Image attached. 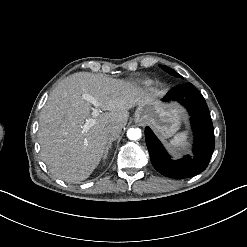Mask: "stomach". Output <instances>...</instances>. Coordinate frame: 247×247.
I'll use <instances>...</instances> for the list:
<instances>
[{
  "label": "stomach",
  "mask_w": 247,
  "mask_h": 247,
  "mask_svg": "<svg viewBox=\"0 0 247 247\" xmlns=\"http://www.w3.org/2000/svg\"><path fill=\"white\" fill-rule=\"evenodd\" d=\"M160 97V94H156L138 104L135 121L149 123L162 136H169L179 129L183 119V109L176 103H162Z\"/></svg>",
  "instance_id": "stomach-1"
}]
</instances>
